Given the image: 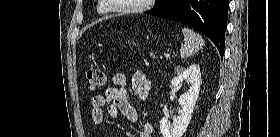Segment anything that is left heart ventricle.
I'll list each match as a JSON object with an SVG mask.
<instances>
[{"label":"left heart ventricle","instance_id":"b2bd125f","mask_svg":"<svg viewBox=\"0 0 280 137\" xmlns=\"http://www.w3.org/2000/svg\"><path fill=\"white\" fill-rule=\"evenodd\" d=\"M116 3L118 6H132L135 4H138L139 1L138 0H116Z\"/></svg>","mask_w":280,"mask_h":137}]
</instances>
